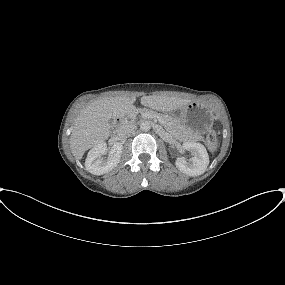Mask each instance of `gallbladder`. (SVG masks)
<instances>
[{
  "mask_svg": "<svg viewBox=\"0 0 285 285\" xmlns=\"http://www.w3.org/2000/svg\"><path fill=\"white\" fill-rule=\"evenodd\" d=\"M113 123H114L113 119H110V120H109V124L112 125Z\"/></svg>",
  "mask_w": 285,
  "mask_h": 285,
  "instance_id": "obj_1",
  "label": "gallbladder"
}]
</instances>
